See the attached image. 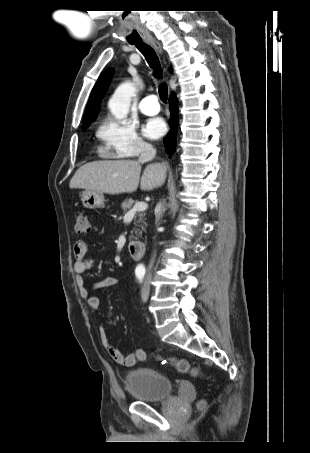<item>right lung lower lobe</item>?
I'll return each instance as SVG.
<instances>
[{"instance_id":"obj_1","label":"right lung lower lobe","mask_w":310,"mask_h":453,"mask_svg":"<svg viewBox=\"0 0 310 453\" xmlns=\"http://www.w3.org/2000/svg\"><path fill=\"white\" fill-rule=\"evenodd\" d=\"M169 107L171 111V118L169 125L171 127L168 135L164 138V143L166 146V150L169 154H171L175 147V139L177 133V125H178V107H177V99L174 94H172L169 98Z\"/></svg>"}]
</instances>
